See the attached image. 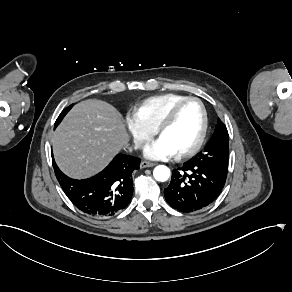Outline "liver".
I'll use <instances>...</instances> for the list:
<instances>
[{
  "label": "liver",
  "mask_w": 292,
  "mask_h": 292,
  "mask_svg": "<svg viewBox=\"0 0 292 292\" xmlns=\"http://www.w3.org/2000/svg\"><path fill=\"white\" fill-rule=\"evenodd\" d=\"M127 140L120 113L98 100L74 106L53 134L58 164L65 173L76 178L101 170Z\"/></svg>",
  "instance_id": "liver-1"
}]
</instances>
